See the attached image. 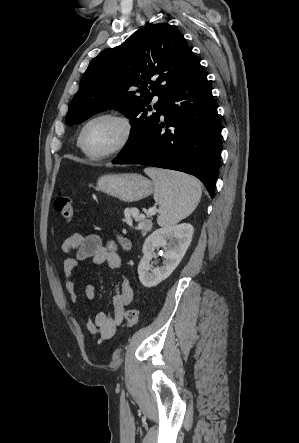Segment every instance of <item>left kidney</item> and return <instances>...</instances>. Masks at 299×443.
Wrapping results in <instances>:
<instances>
[{
  "label": "left kidney",
  "instance_id": "5707ae66",
  "mask_svg": "<svg viewBox=\"0 0 299 443\" xmlns=\"http://www.w3.org/2000/svg\"><path fill=\"white\" fill-rule=\"evenodd\" d=\"M194 228L183 223L155 230L143 245V257L138 265L139 280L145 287H154L165 280L176 269L184 257L191 241ZM163 247V266L152 269L150 264L154 250Z\"/></svg>",
  "mask_w": 299,
  "mask_h": 443
}]
</instances>
